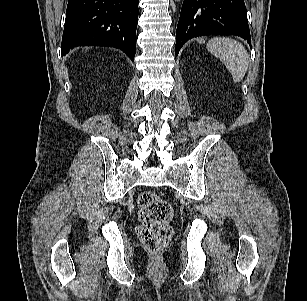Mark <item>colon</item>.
Returning a JSON list of instances; mask_svg holds the SVG:
<instances>
[{"label": "colon", "instance_id": "colon-1", "mask_svg": "<svg viewBox=\"0 0 307 301\" xmlns=\"http://www.w3.org/2000/svg\"><path fill=\"white\" fill-rule=\"evenodd\" d=\"M140 226L137 236L152 252L165 248L171 240L173 230L170 221L173 209L168 201L151 191L142 192L137 201Z\"/></svg>", "mask_w": 307, "mask_h": 301}]
</instances>
